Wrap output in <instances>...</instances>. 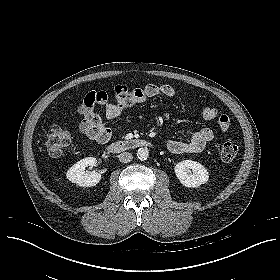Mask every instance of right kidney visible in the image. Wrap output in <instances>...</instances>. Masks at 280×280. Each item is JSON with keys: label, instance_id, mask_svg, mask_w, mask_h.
Instances as JSON below:
<instances>
[{"label": "right kidney", "instance_id": "right-kidney-1", "mask_svg": "<svg viewBox=\"0 0 280 280\" xmlns=\"http://www.w3.org/2000/svg\"><path fill=\"white\" fill-rule=\"evenodd\" d=\"M97 160L94 157H86L76 164H74L70 169L67 171V178L72 183H76L82 187H91L95 186L101 180V174L93 171V172H86L85 169L87 167L96 166Z\"/></svg>", "mask_w": 280, "mask_h": 280}]
</instances>
